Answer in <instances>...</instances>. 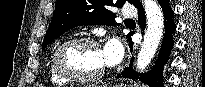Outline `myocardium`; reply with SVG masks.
Returning a JSON list of instances; mask_svg holds the SVG:
<instances>
[{"instance_id":"f54148a6","label":"myocardium","mask_w":205,"mask_h":87,"mask_svg":"<svg viewBox=\"0 0 205 87\" xmlns=\"http://www.w3.org/2000/svg\"><path fill=\"white\" fill-rule=\"evenodd\" d=\"M76 44H88V45H92L102 50L100 43L92 37H75V38L68 39L64 41L63 43H61L53 53L52 65H53L54 71L56 72L58 76H60L61 78L69 82L92 83V82L99 80L106 71L105 64L102 66V68L97 73L92 74V75H78V74L65 70L61 66L60 57L63 51L66 48L72 45H76Z\"/></svg>"}]
</instances>
